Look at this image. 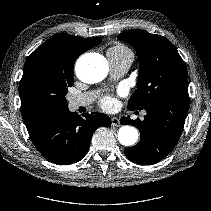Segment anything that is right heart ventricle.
I'll use <instances>...</instances> for the list:
<instances>
[{
	"instance_id": "1",
	"label": "right heart ventricle",
	"mask_w": 211,
	"mask_h": 211,
	"mask_svg": "<svg viewBox=\"0 0 211 211\" xmlns=\"http://www.w3.org/2000/svg\"><path fill=\"white\" fill-rule=\"evenodd\" d=\"M108 52H112L118 55H126V54H132V51L126 47L125 45H122L120 43H117L109 48ZM133 55V54H132Z\"/></svg>"
}]
</instances>
